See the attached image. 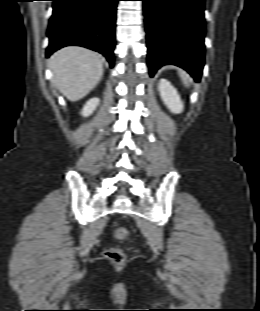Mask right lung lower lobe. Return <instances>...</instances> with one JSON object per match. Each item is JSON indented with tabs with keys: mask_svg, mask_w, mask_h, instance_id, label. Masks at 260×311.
I'll return each instance as SVG.
<instances>
[{
	"mask_svg": "<svg viewBox=\"0 0 260 311\" xmlns=\"http://www.w3.org/2000/svg\"><path fill=\"white\" fill-rule=\"evenodd\" d=\"M46 57L69 45L103 54L114 66L116 6L119 0H52Z\"/></svg>",
	"mask_w": 260,
	"mask_h": 311,
	"instance_id": "1",
	"label": "right lung lower lobe"
}]
</instances>
